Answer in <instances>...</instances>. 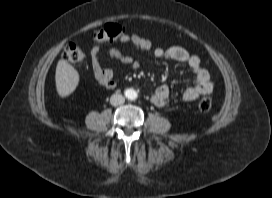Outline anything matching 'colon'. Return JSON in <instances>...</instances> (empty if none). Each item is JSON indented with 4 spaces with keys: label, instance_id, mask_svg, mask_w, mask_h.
<instances>
[{
    "label": "colon",
    "instance_id": "5ec220e1",
    "mask_svg": "<svg viewBox=\"0 0 272 198\" xmlns=\"http://www.w3.org/2000/svg\"><path fill=\"white\" fill-rule=\"evenodd\" d=\"M126 32L125 27L118 23H108L104 27L96 30L93 34V39L96 42L113 41L124 36ZM84 52L81 47L75 43H69L65 46L63 51V58L73 64H79L84 60ZM198 107L202 112H207L212 107V98L209 95L203 96Z\"/></svg>",
    "mask_w": 272,
    "mask_h": 198
}]
</instances>
